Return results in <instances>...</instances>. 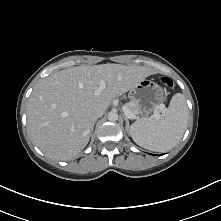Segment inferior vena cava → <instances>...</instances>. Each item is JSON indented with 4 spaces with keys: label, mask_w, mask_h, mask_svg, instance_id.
<instances>
[{
    "label": "inferior vena cava",
    "mask_w": 221,
    "mask_h": 221,
    "mask_svg": "<svg viewBox=\"0 0 221 221\" xmlns=\"http://www.w3.org/2000/svg\"><path fill=\"white\" fill-rule=\"evenodd\" d=\"M103 114H104V110H103V109H98V110H96V111L93 113V115H92V120H93V121L97 120V118L102 117Z\"/></svg>",
    "instance_id": "1"
}]
</instances>
